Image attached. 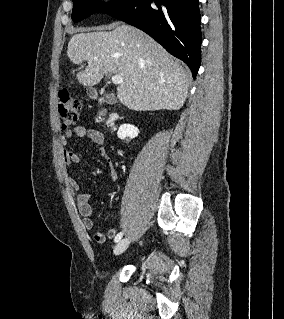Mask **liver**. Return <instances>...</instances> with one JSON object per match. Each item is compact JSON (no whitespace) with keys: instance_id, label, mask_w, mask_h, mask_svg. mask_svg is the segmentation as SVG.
I'll list each match as a JSON object with an SVG mask.
<instances>
[{"instance_id":"1","label":"liver","mask_w":284,"mask_h":319,"mask_svg":"<svg viewBox=\"0 0 284 319\" xmlns=\"http://www.w3.org/2000/svg\"><path fill=\"white\" fill-rule=\"evenodd\" d=\"M73 35L67 56L74 64L87 61L76 77L84 86L98 84L104 75L123 78L119 101L136 111L179 110L187 98L191 73L154 39L127 24L112 31Z\"/></svg>"}]
</instances>
